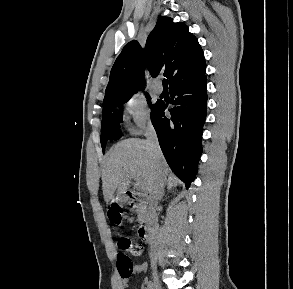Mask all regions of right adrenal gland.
Returning a JSON list of instances; mask_svg holds the SVG:
<instances>
[{
  "instance_id": "1",
  "label": "right adrenal gland",
  "mask_w": 293,
  "mask_h": 289,
  "mask_svg": "<svg viewBox=\"0 0 293 289\" xmlns=\"http://www.w3.org/2000/svg\"><path fill=\"white\" fill-rule=\"evenodd\" d=\"M164 194H165V191L163 190L162 193H161V195H160V199L163 198Z\"/></svg>"
}]
</instances>
